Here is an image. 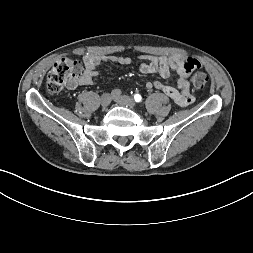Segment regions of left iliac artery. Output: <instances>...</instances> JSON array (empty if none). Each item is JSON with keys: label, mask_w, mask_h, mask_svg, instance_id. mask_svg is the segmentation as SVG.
<instances>
[{"label": "left iliac artery", "mask_w": 253, "mask_h": 253, "mask_svg": "<svg viewBox=\"0 0 253 253\" xmlns=\"http://www.w3.org/2000/svg\"><path fill=\"white\" fill-rule=\"evenodd\" d=\"M134 100H135L136 102H140V101H142V97H141V95H139V94H135V95H134Z\"/></svg>", "instance_id": "1"}]
</instances>
